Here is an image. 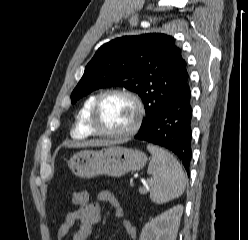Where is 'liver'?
Instances as JSON below:
<instances>
[{
    "instance_id": "1",
    "label": "liver",
    "mask_w": 248,
    "mask_h": 240,
    "mask_svg": "<svg viewBox=\"0 0 248 240\" xmlns=\"http://www.w3.org/2000/svg\"><path fill=\"white\" fill-rule=\"evenodd\" d=\"M107 144H108L107 141L93 140V141H89V142L82 144V146H102V145H107Z\"/></svg>"
}]
</instances>
